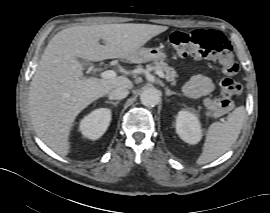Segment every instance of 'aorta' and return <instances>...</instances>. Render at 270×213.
Returning a JSON list of instances; mask_svg holds the SVG:
<instances>
[{"mask_svg":"<svg viewBox=\"0 0 270 213\" xmlns=\"http://www.w3.org/2000/svg\"><path fill=\"white\" fill-rule=\"evenodd\" d=\"M141 103L147 107H154L160 101V92L156 88H147L140 95Z\"/></svg>","mask_w":270,"mask_h":213,"instance_id":"aorta-1","label":"aorta"}]
</instances>
